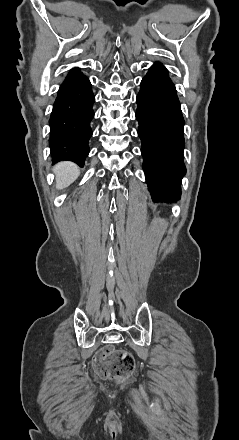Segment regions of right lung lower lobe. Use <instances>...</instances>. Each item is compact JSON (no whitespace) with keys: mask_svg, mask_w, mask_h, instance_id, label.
I'll return each mask as SVG.
<instances>
[{"mask_svg":"<svg viewBox=\"0 0 239 440\" xmlns=\"http://www.w3.org/2000/svg\"><path fill=\"white\" fill-rule=\"evenodd\" d=\"M94 102L89 79L78 68L70 70L59 88L49 120V146L54 162L69 160L84 166L92 136Z\"/></svg>","mask_w":239,"mask_h":440,"instance_id":"1","label":"right lung lower lobe"}]
</instances>
